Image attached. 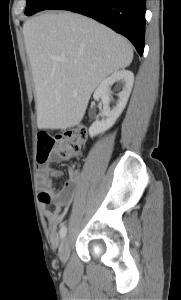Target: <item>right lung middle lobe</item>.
<instances>
[{
    "instance_id": "right-lung-middle-lobe-1",
    "label": "right lung middle lobe",
    "mask_w": 181,
    "mask_h": 300,
    "mask_svg": "<svg viewBox=\"0 0 181 300\" xmlns=\"http://www.w3.org/2000/svg\"><path fill=\"white\" fill-rule=\"evenodd\" d=\"M55 1L56 0H27L25 14L30 16L39 11L45 10Z\"/></svg>"
}]
</instances>
